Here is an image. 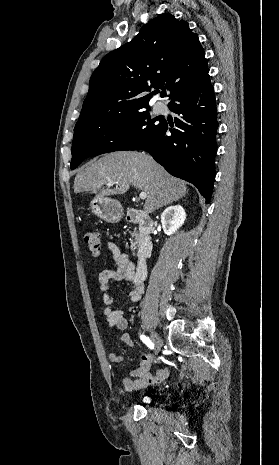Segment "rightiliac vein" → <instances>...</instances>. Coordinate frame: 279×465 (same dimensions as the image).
I'll return each mask as SVG.
<instances>
[{
	"label": "right iliac vein",
	"mask_w": 279,
	"mask_h": 465,
	"mask_svg": "<svg viewBox=\"0 0 279 465\" xmlns=\"http://www.w3.org/2000/svg\"><path fill=\"white\" fill-rule=\"evenodd\" d=\"M151 339H152V341H153V343L155 345L156 352L159 353V351L161 349V346H162L160 337L157 335V333L152 332L151 333Z\"/></svg>",
	"instance_id": "right-iliac-vein-1"
}]
</instances>
